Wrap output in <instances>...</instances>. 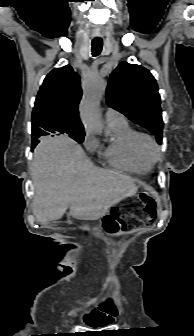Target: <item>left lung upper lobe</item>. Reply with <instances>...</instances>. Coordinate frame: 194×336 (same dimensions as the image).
Segmentation results:
<instances>
[{"label": "left lung upper lobe", "instance_id": "obj_1", "mask_svg": "<svg viewBox=\"0 0 194 336\" xmlns=\"http://www.w3.org/2000/svg\"><path fill=\"white\" fill-rule=\"evenodd\" d=\"M106 95L109 106L150 130L161 142L160 95L156 80L146 68L120 63L110 76Z\"/></svg>", "mask_w": 194, "mask_h": 336}]
</instances>
